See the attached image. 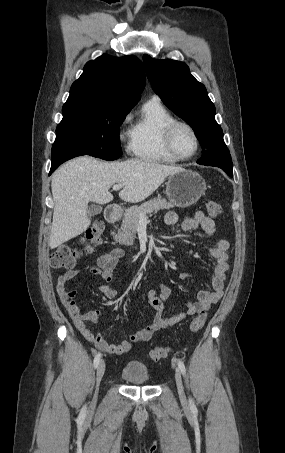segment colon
Returning a JSON list of instances; mask_svg holds the SVG:
<instances>
[{"label": "colon", "mask_w": 285, "mask_h": 453, "mask_svg": "<svg viewBox=\"0 0 285 453\" xmlns=\"http://www.w3.org/2000/svg\"><path fill=\"white\" fill-rule=\"evenodd\" d=\"M206 208L211 216H218L222 207L215 201H207ZM104 226L101 221H95L79 240V244L65 243L60 245L51 255L50 264L53 268H70L83 255L91 252L92 247L100 242ZM206 322V314L199 313L191 322V330H201ZM169 350L166 347H156L150 351V358L158 362L167 357Z\"/></svg>", "instance_id": "obj_1"}]
</instances>
